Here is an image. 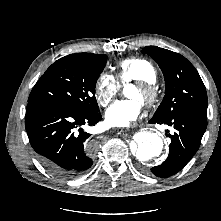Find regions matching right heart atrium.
I'll list each match as a JSON object with an SVG mask.
<instances>
[{"instance_id": "right-heart-atrium-1", "label": "right heart atrium", "mask_w": 221, "mask_h": 221, "mask_svg": "<svg viewBox=\"0 0 221 221\" xmlns=\"http://www.w3.org/2000/svg\"><path fill=\"white\" fill-rule=\"evenodd\" d=\"M119 82L107 72L102 73L94 88L95 98L99 105L106 106L119 91Z\"/></svg>"}]
</instances>
